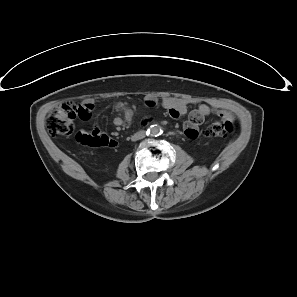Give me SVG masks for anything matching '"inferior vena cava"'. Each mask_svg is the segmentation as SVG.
<instances>
[{"mask_svg":"<svg viewBox=\"0 0 297 297\" xmlns=\"http://www.w3.org/2000/svg\"><path fill=\"white\" fill-rule=\"evenodd\" d=\"M135 137L138 139H142L145 137V131H140L138 133L135 134Z\"/></svg>","mask_w":297,"mask_h":297,"instance_id":"inferior-vena-cava-1","label":"inferior vena cava"}]
</instances>
